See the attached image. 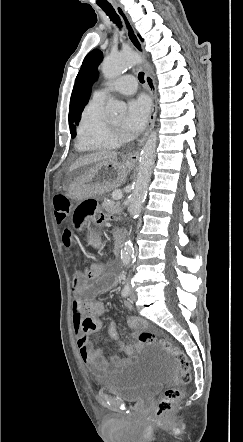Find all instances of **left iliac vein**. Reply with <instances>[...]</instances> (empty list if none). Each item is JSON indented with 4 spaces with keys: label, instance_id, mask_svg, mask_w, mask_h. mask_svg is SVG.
I'll return each mask as SVG.
<instances>
[{
    "label": "left iliac vein",
    "instance_id": "1",
    "mask_svg": "<svg viewBox=\"0 0 243 442\" xmlns=\"http://www.w3.org/2000/svg\"><path fill=\"white\" fill-rule=\"evenodd\" d=\"M130 300L131 301H135L136 299V293L133 289L130 290V294H129Z\"/></svg>",
    "mask_w": 243,
    "mask_h": 442
}]
</instances>
